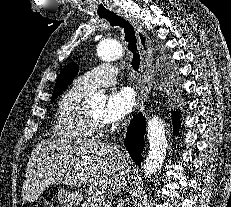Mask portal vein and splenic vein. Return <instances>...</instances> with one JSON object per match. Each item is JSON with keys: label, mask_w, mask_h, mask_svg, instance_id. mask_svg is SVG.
<instances>
[{"label": "portal vein and splenic vein", "mask_w": 231, "mask_h": 207, "mask_svg": "<svg viewBox=\"0 0 231 207\" xmlns=\"http://www.w3.org/2000/svg\"><path fill=\"white\" fill-rule=\"evenodd\" d=\"M96 200L99 202H104L105 198L103 195H98V196H96ZM104 204H105V202H104Z\"/></svg>", "instance_id": "portal-vein-and-splenic-vein-1"}]
</instances>
